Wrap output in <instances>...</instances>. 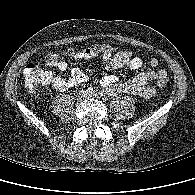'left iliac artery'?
I'll list each match as a JSON object with an SVG mask.
<instances>
[{
	"label": "left iliac artery",
	"instance_id": "44dca946",
	"mask_svg": "<svg viewBox=\"0 0 195 195\" xmlns=\"http://www.w3.org/2000/svg\"><path fill=\"white\" fill-rule=\"evenodd\" d=\"M99 95L102 97L103 96V93L102 92H99Z\"/></svg>",
	"mask_w": 195,
	"mask_h": 195
}]
</instances>
